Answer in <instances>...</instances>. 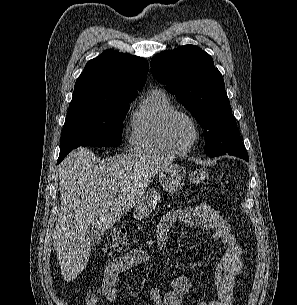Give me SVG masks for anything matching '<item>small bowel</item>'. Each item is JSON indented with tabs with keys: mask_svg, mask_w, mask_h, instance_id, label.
Listing matches in <instances>:
<instances>
[{
	"mask_svg": "<svg viewBox=\"0 0 297 305\" xmlns=\"http://www.w3.org/2000/svg\"><path fill=\"white\" fill-rule=\"evenodd\" d=\"M177 222L203 230H211L213 239L220 240L225 247L222 259L215 266V297L198 305H232L234 290L243 268V250L236 242L229 224L217 210L207 204L172 209L165 214L157 229V243L161 249L166 248L169 231ZM148 261L149 255L145 251L131 250L109 263L103 274L102 286L89 291L85 305H99L102 297L109 302L116 303L119 275ZM189 291L188 279L179 275L174 278L171 289L164 296L158 287L151 288L149 295L156 305H180Z\"/></svg>",
	"mask_w": 297,
	"mask_h": 305,
	"instance_id": "small-bowel-1",
	"label": "small bowel"
}]
</instances>
